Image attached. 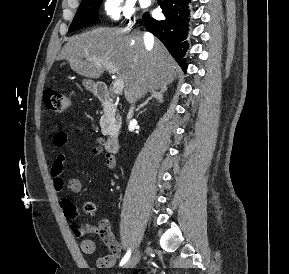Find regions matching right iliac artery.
I'll return each mask as SVG.
<instances>
[{"label": "right iliac artery", "instance_id": "obj_1", "mask_svg": "<svg viewBox=\"0 0 289 274\" xmlns=\"http://www.w3.org/2000/svg\"><path fill=\"white\" fill-rule=\"evenodd\" d=\"M130 255H131V250H128L125 256L122 258L120 262V266L124 265L129 260Z\"/></svg>", "mask_w": 289, "mask_h": 274}]
</instances>
